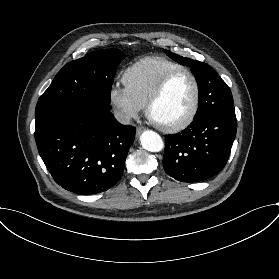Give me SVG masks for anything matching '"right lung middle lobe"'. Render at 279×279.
<instances>
[{"label":"right lung middle lobe","instance_id":"right-lung-middle-lobe-1","mask_svg":"<svg viewBox=\"0 0 279 279\" xmlns=\"http://www.w3.org/2000/svg\"><path fill=\"white\" fill-rule=\"evenodd\" d=\"M123 58L121 51L105 49L67 63L39 98L35 114L48 106L75 100H89L110 110L111 86Z\"/></svg>","mask_w":279,"mask_h":279}]
</instances>
